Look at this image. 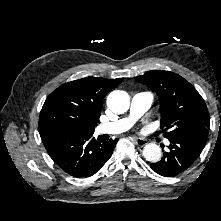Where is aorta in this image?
I'll use <instances>...</instances> for the list:
<instances>
[{"instance_id": "762f6f07", "label": "aorta", "mask_w": 221, "mask_h": 221, "mask_svg": "<svg viewBox=\"0 0 221 221\" xmlns=\"http://www.w3.org/2000/svg\"><path fill=\"white\" fill-rule=\"evenodd\" d=\"M107 106L117 114L125 113L130 106V97L122 90L112 91L107 97ZM161 148L155 143H148L143 148L145 160L156 163L161 159Z\"/></svg>"}]
</instances>
